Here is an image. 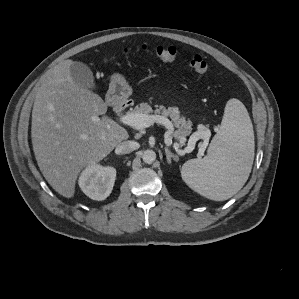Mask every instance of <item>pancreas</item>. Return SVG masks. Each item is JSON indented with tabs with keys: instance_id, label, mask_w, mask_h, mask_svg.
I'll return each instance as SVG.
<instances>
[{
	"instance_id": "cf45deb5",
	"label": "pancreas",
	"mask_w": 299,
	"mask_h": 299,
	"mask_svg": "<svg viewBox=\"0 0 299 299\" xmlns=\"http://www.w3.org/2000/svg\"><path fill=\"white\" fill-rule=\"evenodd\" d=\"M129 113H137V114H146L154 113L155 115H161L164 117H170L173 122V125L176 127V131L172 133L171 137L178 140L180 145H183L186 141V136L191 133L192 123L190 120H186L185 117L180 116V111L176 107H168L167 109L163 105H157L156 109H152V107L148 103H140L135 106L133 110ZM195 141L191 140L190 143Z\"/></svg>"
}]
</instances>
